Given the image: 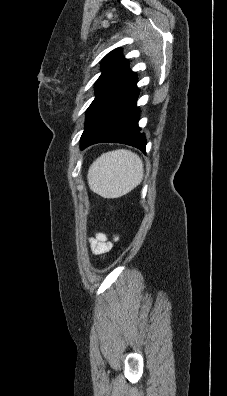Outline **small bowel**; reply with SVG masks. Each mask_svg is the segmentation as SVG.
Wrapping results in <instances>:
<instances>
[{"instance_id":"obj_1","label":"small bowel","mask_w":227,"mask_h":396,"mask_svg":"<svg viewBox=\"0 0 227 396\" xmlns=\"http://www.w3.org/2000/svg\"><path fill=\"white\" fill-rule=\"evenodd\" d=\"M89 243L93 255L104 256L112 248V243L108 241L106 235L101 232L91 237Z\"/></svg>"}]
</instances>
